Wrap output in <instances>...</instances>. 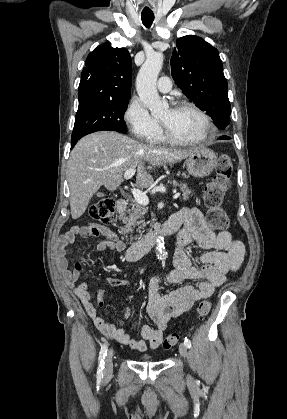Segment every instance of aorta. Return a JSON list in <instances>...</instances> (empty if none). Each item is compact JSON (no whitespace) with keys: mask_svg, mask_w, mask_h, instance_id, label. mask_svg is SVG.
<instances>
[{"mask_svg":"<svg viewBox=\"0 0 287 419\" xmlns=\"http://www.w3.org/2000/svg\"><path fill=\"white\" fill-rule=\"evenodd\" d=\"M164 56L161 52H154L147 56L136 78V89L142 103L151 111L153 116L163 113L164 104L156 88L158 74L163 65ZM156 256L158 259L166 258L164 239L158 237Z\"/></svg>","mask_w":287,"mask_h":419,"instance_id":"762f6f07","label":"aorta"}]
</instances>
